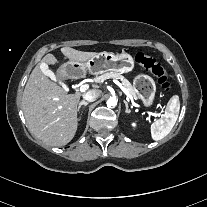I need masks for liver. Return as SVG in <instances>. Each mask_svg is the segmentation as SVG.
Here are the masks:
<instances>
[{
    "label": "liver",
    "instance_id": "1",
    "mask_svg": "<svg viewBox=\"0 0 207 207\" xmlns=\"http://www.w3.org/2000/svg\"><path fill=\"white\" fill-rule=\"evenodd\" d=\"M109 54L69 48L64 52L68 61L60 64L55 73L48 66L59 63L53 55L47 56L33 69L23 92V113L28 128L39 140L56 145L73 138L78 127V112L89 98L85 95H90L95 100L101 98V85L113 77L105 60ZM100 57H104L103 63L99 61ZM90 62L94 64L91 66ZM87 72L95 76L93 79L98 78V81H93L95 83L92 84V89L87 92L75 89L74 93H69L68 87L67 90L64 89V81L86 78ZM107 84L105 82L102 88L108 87Z\"/></svg>",
    "mask_w": 207,
    "mask_h": 207
}]
</instances>
